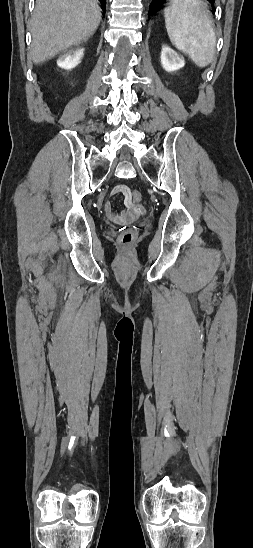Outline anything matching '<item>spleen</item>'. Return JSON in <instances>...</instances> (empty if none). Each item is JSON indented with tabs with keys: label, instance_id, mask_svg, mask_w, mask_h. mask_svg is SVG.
Here are the masks:
<instances>
[{
	"label": "spleen",
	"instance_id": "3e777b00",
	"mask_svg": "<svg viewBox=\"0 0 253 548\" xmlns=\"http://www.w3.org/2000/svg\"><path fill=\"white\" fill-rule=\"evenodd\" d=\"M170 41L200 68L214 58L216 36L207 5L201 0H172L164 9Z\"/></svg>",
	"mask_w": 253,
	"mask_h": 548
}]
</instances>
